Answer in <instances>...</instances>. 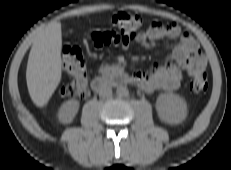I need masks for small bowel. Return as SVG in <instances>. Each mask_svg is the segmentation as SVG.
Wrapping results in <instances>:
<instances>
[{
  "label": "small bowel",
  "instance_id": "small-bowel-1",
  "mask_svg": "<svg viewBox=\"0 0 231 170\" xmlns=\"http://www.w3.org/2000/svg\"><path fill=\"white\" fill-rule=\"evenodd\" d=\"M164 38L179 40L166 62L132 75L134 83L148 92L179 89L184 74L194 76L205 68L206 59L190 33L173 22L167 25L153 22L135 37L122 35L113 29L95 31L90 35L93 45L99 48L109 45L128 48L133 42L143 47H152Z\"/></svg>",
  "mask_w": 231,
  "mask_h": 170
}]
</instances>
